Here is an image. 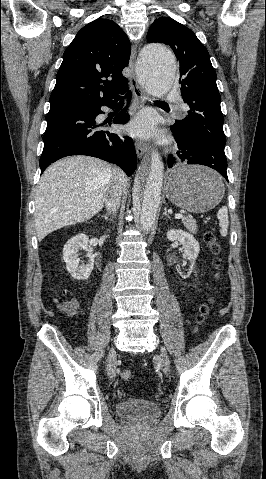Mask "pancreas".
Here are the masks:
<instances>
[{
	"label": "pancreas",
	"mask_w": 266,
	"mask_h": 479,
	"mask_svg": "<svg viewBox=\"0 0 266 479\" xmlns=\"http://www.w3.org/2000/svg\"><path fill=\"white\" fill-rule=\"evenodd\" d=\"M182 223L184 226L193 234H196L198 231V226L196 224V220L189 217H183Z\"/></svg>",
	"instance_id": "pancreas-1"
}]
</instances>
